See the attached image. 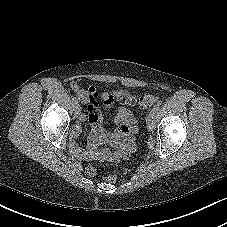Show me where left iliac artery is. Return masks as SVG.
I'll return each instance as SVG.
<instances>
[{
  "instance_id": "obj_1",
  "label": "left iliac artery",
  "mask_w": 227,
  "mask_h": 227,
  "mask_svg": "<svg viewBox=\"0 0 227 227\" xmlns=\"http://www.w3.org/2000/svg\"><path fill=\"white\" fill-rule=\"evenodd\" d=\"M160 105H161L160 103L156 104V105L153 107L152 111H153L154 113L158 112V110H159V108H160Z\"/></svg>"
}]
</instances>
